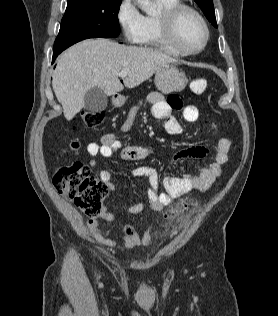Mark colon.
Here are the masks:
<instances>
[{"mask_svg":"<svg viewBox=\"0 0 278 316\" xmlns=\"http://www.w3.org/2000/svg\"><path fill=\"white\" fill-rule=\"evenodd\" d=\"M206 88L207 81L204 78L194 79L190 84L191 91L197 95L204 93ZM82 119L87 127L93 128L101 124L104 113L86 111L82 113ZM68 147L71 151H77L79 142L72 140ZM52 183L60 194L71 199L91 221L102 216L108 187L98 181L87 166L80 162L60 166L53 174ZM187 206L186 202L182 203L167 215V220L178 221Z\"/></svg>","mask_w":278,"mask_h":316,"instance_id":"colon-1","label":"colon"}]
</instances>
